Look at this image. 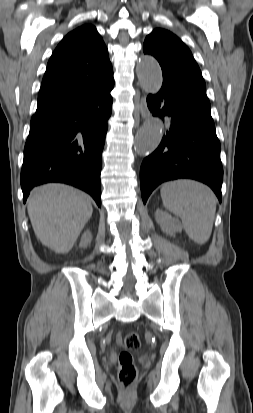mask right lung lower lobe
<instances>
[{
    "label": "right lung lower lobe",
    "instance_id": "1",
    "mask_svg": "<svg viewBox=\"0 0 253 413\" xmlns=\"http://www.w3.org/2000/svg\"><path fill=\"white\" fill-rule=\"evenodd\" d=\"M113 74L98 91L76 100L31 127L21 170L23 200L47 182H63L89 193L101 207V159L112 112Z\"/></svg>",
    "mask_w": 253,
    "mask_h": 413
}]
</instances>
